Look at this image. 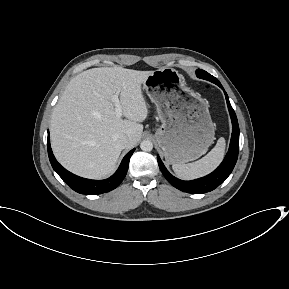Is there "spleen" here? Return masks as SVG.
<instances>
[{"instance_id": "3e777b00", "label": "spleen", "mask_w": 289, "mask_h": 289, "mask_svg": "<svg viewBox=\"0 0 289 289\" xmlns=\"http://www.w3.org/2000/svg\"><path fill=\"white\" fill-rule=\"evenodd\" d=\"M225 139L219 138L215 147L200 160L189 164H173L175 174L184 180H192L212 172L222 161L225 152Z\"/></svg>"}]
</instances>
